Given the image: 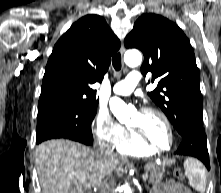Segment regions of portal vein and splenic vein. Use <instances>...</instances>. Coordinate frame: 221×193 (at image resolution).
Masks as SVG:
<instances>
[{
  "label": "portal vein and splenic vein",
  "mask_w": 221,
  "mask_h": 193,
  "mask_svg": "<svg viewBox=\"0 0 221 193\" xmlns=\"http://www.w3.org/2000/svg\"><path fill=\"white\" fill-rule=\"evenodd\" d=\"M147 179H148V174L147 173L143 174L142 175V180L146 181Z\"/></svg>",
  "instance_id": "obj_1"
}]
</instances>
